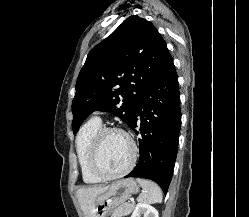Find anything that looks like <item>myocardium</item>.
<instances>
[{"label": "myocardium", "mask_w": 249, "mask_h": 217, "mask_svg": "<svg viewBox=\"0 0 249 217\" xmlns=\"http://www.w3.org/2000/svg\"><path fill=\"white\" fill-rule=\"evenodd\" d=\"M108 133H119L129 142L131 147V158L128 165L116 173H107L99 165V151L103 137ZM137 160V146L131 135L125 130L118 127H101L94 136L89 151V167L94 175L102 180H114L125 176L132 170Z\"/></svg>", "instance_id": "obj_1"}]
</instances>
